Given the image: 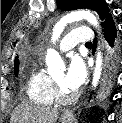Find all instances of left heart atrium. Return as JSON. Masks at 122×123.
<instances>
[{
    "mask_svg": "<svg viewBox=\"0 0 122 123\" xmlns=\"http://www.w3.org/2000/svg\"><path fill=\"white\" fill-rule=\"evenodd\" d=\"M85 79L86 67L83 60L78 56L72 57L63 79V85L75 91L84 83Z\"/></svg>",
    "mask_w": 122,
    "mask_h": 123,
    "instance_id": "1",
    "label": "left heart atrium"
}]
</instances>
